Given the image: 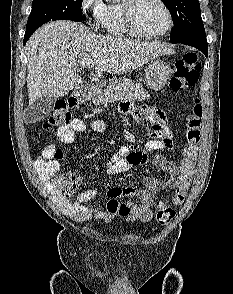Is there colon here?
<instances>
[{
  "mask_svg": "<svg viewBox=\"0 0 233 294\" xmlns=\"http://www.w3.org/2000/svg\"><path fill=\"white\" fill-rule=\"evenodd\" d=\"M200 65L197 63V56L193 52L185 53L175 63L174 74L170 81V87L177 92L187 89L199 79ZM203 120V107L198 98H195L191 111L186 119L184 131L185 146L180 163V174L178 185L173 196V203L176 206L182 205L187 197L192 176L196 164L197 145L200 139V130ZM71 121V113L64 103L57 104L54 112L45 123V127H62ZM80 184V179L74 174L66 173L56 178L58 191L65 197L71 196ZM122 212H127L125 206H121ZM175 209L160 201L156 205V221L161 225L168 224L174 217Z\"/></svg>",
  "mask_w": 233,
  "mask_h": 294,
  "instance_id": "colon-1",
  "label": "colon"
}]
</instances>
